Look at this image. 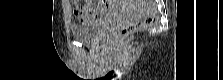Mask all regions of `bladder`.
<instances>
[{"mask_svg": "<svg viewBox=\"0 0 223 80\" xmlns=\"http://www.w3.org/2000/svg\"><path fill=\"white\" fill-rule=\"evenodd\" d=\"M114 8H110L95 20H89L82 23L73 24L71 26L72 36L80 41L93 42L96 41L103 29L104 22L113 14Z\"/></svg>", "mask_w": 223, "mask_h": 80, "instance_id": "1", "label": "bladder"}]
</instances>
